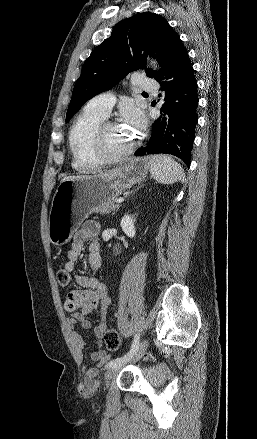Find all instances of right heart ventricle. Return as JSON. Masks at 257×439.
Segmentation results:
<instances>
[{
    "label": "right heart ventricle",
    "instance_id": "1",
    "mask_svg": "<svg viewBox=\"0 0 257 439\" xmlns=\"http://www.w3.org/2000/svg\"><path fill=\"white\" fill-rule=\"evenodd\" d=\"M105 116L85 108L75 119L69 132L72 166L79 172L96 170L100 160L94 148V136Z\"/></svg>",
    "mask_w": 257,
    "mask_h": 439
}]
</instances>
